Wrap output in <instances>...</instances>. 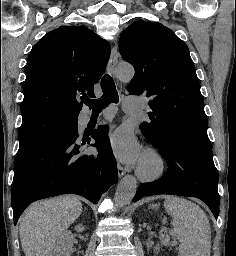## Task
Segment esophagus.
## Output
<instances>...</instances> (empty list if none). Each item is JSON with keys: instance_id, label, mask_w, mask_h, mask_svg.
I'll return each mask as SVG.
<instances>
[{"instance_id": "1", "label": "esophagus", "mask_w": 236, "mask_h": 256, "mask_svg": "<svg viewBox=\"0 0 236 256\" xmlns=\"http://www.w3.org/2000/svg\"><path fill=\"white\" fill-rule=\"evenodd\" d=\"M117 62H118V53H117V47L115 45L112 48L109 63H108V71L113 76H115V68H116ZM117 171H118L119 178H121L125 174V171L120 164L117 165Z\"/></svg>"}]
</instances>
